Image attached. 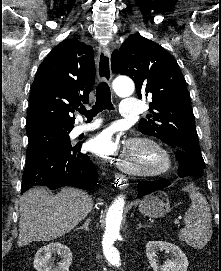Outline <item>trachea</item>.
<instances>
[{
	"mask_svg": "<svg viewBox=\"0 0 221 271\" xmlns=\"http://www.w3.org/2000/svg\"><path fill=\"white\" fill-rule=\"evenodd\" d=\"M113 109L110 88L106 82L102 81L96 88V102L92 106V109L86 110L85 106H81L78 111L82 115H85L88 121H91L101 111Z\"/></svg>",
	"mask_w": 221,
	"mask_h": 271,
	"instance_id": "3493384b",
	"label": "trachea"
}]
</instances>
